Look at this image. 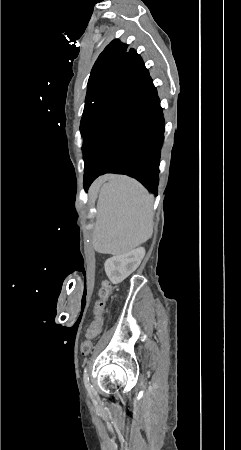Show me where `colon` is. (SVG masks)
I'll return each instance as SVG.
<instances>
[{
	"label": "colon",
	"instance_id": "obj_1",
	"mask_svg": "<svg viewBox=\"0 0 241 450\" xmlns=\"http://www.w3.org/2000/svg\"><path fill=\"white\" fill-rule=\"evenodd\" d=\"M110 285L109 283H105L103 288L100 291L99 299L97 300V303L93 306L92 311L94 314H101L104 311V304L102 302H106L107 298L110 295ZM89 329L90 330H100L101 329V322L100 321H90L89 322ZM83 347L80 348V353L82 356H87V354H91L94 347L90 340H84L82 342Z\"/></svg>",
	"mask_w": 241,
	"mask_h": 450
}]
</instances>
